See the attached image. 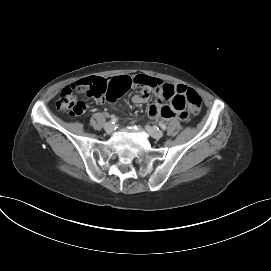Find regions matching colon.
Returning <instances> with one entry per match:
<instances>
[{"label": "colon", "mask_w": 271, "mask_h": 271, "mask_svg": "<svg viewBox=\"0 0 271 271\" xmlns=\"http://www.w3.org/2000/svg\"><path fill=\"white\" fill-rule=\"evenodd\" d=\"M83 83L66 86L60 93L56 106L59 110L66 111L72 116H78L84 113L86 106L77 94L82 92ZM89 89V85H88ZM173 103L178 108H184L188 105L193 112H198L201 107V97L193 89H187L185 92L177 93L173 98Z\"/></svg>", "instance_id": "colon-1"}]
</instances>
